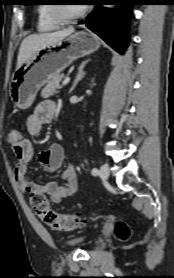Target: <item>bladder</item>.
<instances>
[{
  "label": "bladder",
  "mask_w": 174,
  "mask_h": 278,
  "mask_svg": "<svg viewBox=\"0 0 174 278\" xmlns=\"http://www.w3.org/2000/svg\"><path fill=\"white\" fill-rule=\"evenodd\" d=\"M89 238L88 235H79L73 237L67 241V244L70 246H75L84 243Z\"/></svg>",
  "instance_id": "bladder-1"
}]
</instances>
